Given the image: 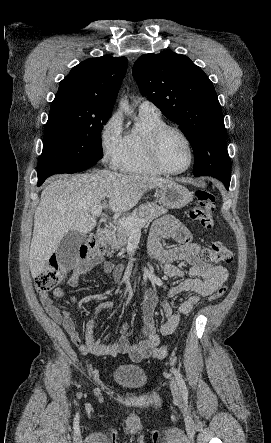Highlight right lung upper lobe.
<instances>
[{
  "label": "right lung upper lobe",
  "instance_id": "right-lung-upper-lobe-1",
  "mask_svg": "<svg viewBox=\"0 0 271 443\" xmlns=\"http://www.w3.org/2000/svg\"><path fill=\"white\" fill-rule=\"evenodd\" d=\"M127 64L125 57L110 55L81 62L60 82L51 105L73 104L90 115H110Z\"/></svg>",
  "mask_w": 271,
  "mask_h": 443
}]
</instances>
